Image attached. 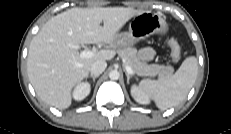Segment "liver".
I'll return each mask as SVG.
<instances>
[{"label": "liver", "mask_w": 231, "mask_h": 134, "mask_svg": "<svg viewBox=\"0 0 231 134\" xmlns=\"http://www.w3.org/2000/svg\"><path fill=\"white\" fill-rule=\"evenodd\" d=\"M140 13L125 7H76L49 19L33 37L27 57L28 77L40 99L58 109L68 108L73 87L88 77L91 64L116 54L105 49L81 58L79 50L69 45L102 42L115 48L120 29Z\"/></svg>", "instance_id": "1"}]
</instances>
